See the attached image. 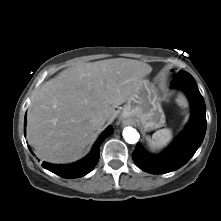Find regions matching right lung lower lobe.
Listing matches in <instances>:
<instances>
[{
    "label": "right lung lower lobe",
    "mask_w": 221,
    "mask_h": 221,
    "mask_svg": "<svg viewBox=\"0 0 221 221\" xmlns=\"http://www.w3.org/2000/svg\"><path fill=\"white\" fill-rule=\"evenodd\" d=\"M26 125V116L24 120V131ZM113 127L109 126L95 142L92 151L82 160L68 165H54L43 162V168L67 179L79 178L89 173L97 164L99 159V147L101 142L113 133ZM32 153V151L30 150Z\"/></svg>",
    "instance_id": "obj_1"
}]
</instances>
